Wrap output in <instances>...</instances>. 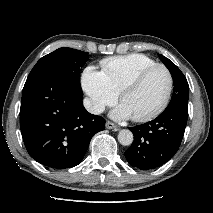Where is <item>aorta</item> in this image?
<instances>
[{"label": "aorta", "instance_id": "aorta-1", "mask_svg": "<svg viewBox=\"0 0 213 213\" xmlns=\"http://www.w3.org/2000/svg\"><path fill=\"white\" fill-rule=\"evenodd\" d=\"M118 141L123 146H129L133 143V133L128 129H122L118 133Z\"/></svg>", "mask_w": 213, "mask_h": 213}]
</instances>
